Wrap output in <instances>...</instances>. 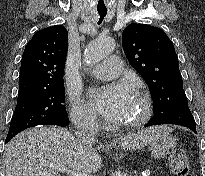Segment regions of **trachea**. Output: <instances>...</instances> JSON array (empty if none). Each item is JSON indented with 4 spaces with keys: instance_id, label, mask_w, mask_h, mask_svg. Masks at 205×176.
Masks as SVG:
<instances>
[{
    "instance_id": "1",
    "label": "trachea",
    "mask_w": 205,
    "mask_h": 176,
    "mask_svg": "<svg viewBox=\"0 0 205 176\" xmlns=\"http://www.w3.org/2000/svg\"><path fill=\"white\" fill-rule=\"evenodd\" d=\"M98 11V14H99V21H98V24H101L104 17L106 16L107 14V10H97Z\"/></svg>"
}]
</instances>
